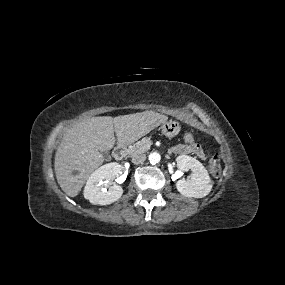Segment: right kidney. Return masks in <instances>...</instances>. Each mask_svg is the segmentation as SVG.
Masks as SVG:
<instances>
[{"instance_id": "obj_1", "label": "right kidney", "mask_w": 285, "mask_h": 285, "mask_svg": "<svg viewBox=\"0 0 285 285\" xmlns=\"http://www.w3.org/2000/svg\"><path fill=\"white\" fill-rule=\"evenodd\" d=\"M122 166L118 163H108L95 170L88 178L84 197L92 204L108 205L117 201L123 194V189L119 185L104 186V181H110L121 173Z\"/></svg>"}]
</instances>
